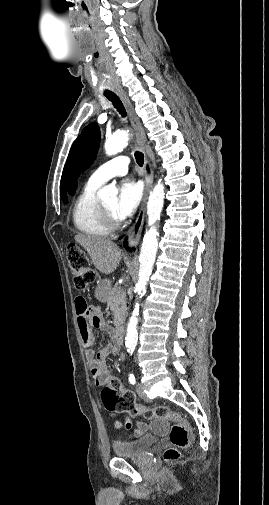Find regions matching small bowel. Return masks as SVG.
<instances>
[{
	"mask_svg": "<svg viewBox=\"0 0 269 505\" xmlns=\"http://www.w3.org/2000/svg\"><path fill=\"white\" fill-rule=\"evenodd\" d=\"M78 326L82 344L85 348L86 356L91 364V375L97 386L105 385L111 377L106 367L107 357L117 351L116 344H108L99 352L92 349L94 343L93 329L104 332H112L111 326L104 320L100 309L96 306H89V301L78 297L75 301ZM89 306V307H88ZM117 428L121 427L119 421L115 422ZM169 423L167 418H156L148 424L140 421L136 426V434L141 435L151 429L155 434L165 435L168 431Z\"/></svg>",
	"mask_w": 269,
	"mask_h": 505,
	"instance_id": "c3829d8e",
	"label": "small bowel"
}]
</instances>
